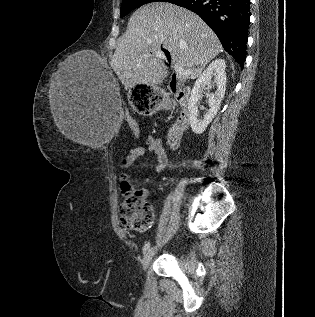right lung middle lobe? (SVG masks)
Returning a JSON list of instances; mask_svg holds the SVG:
<instances>
[{"label": "right lung middle lobe", "instance_id": "dd1d6c3e", "mask_svg": "<svg viewBox=\"0 0 315 317\" xmlns=\"http://www.w3.org/2000/svg\"><path fill=\"white\" fill-rule=\"evenodd\" d=\"M156 1H163V2H170L173 3L176 0H122V5H121V13L120 17L125 16L128 14L130 11L133 9L147 3L151 2H156Z\"/></svg>", "mask_w": 315, "mask_h": 317}]
</instances>
